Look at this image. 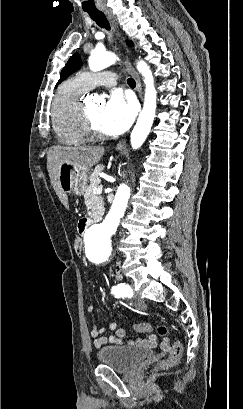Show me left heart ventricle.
<instances>
[{
  "label": "left heart ventricle",
  "mask_w": 243,
  "mask_h": 409,
  "mask_svg": "<svg viewBox=\"0 0 243 409\" xmlns=\"http://www.w3.org/2000/svg\"><path fill=\"white\" fill-rule=\"evenodd\" d=\"M103 108H104V105L99 104V103L87 106V111L89 113V116H90L92 122L94 123L95 127L99 131H101V128H100V115H101V112H102Z\"/></svg>",
  "instance_id": "left-heart-ventricle-1"
}]
</instances>
